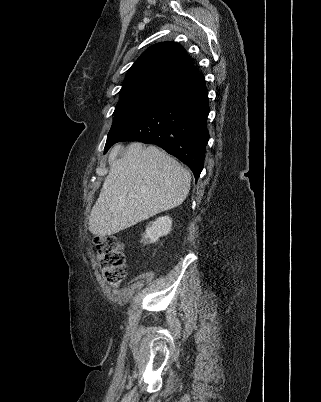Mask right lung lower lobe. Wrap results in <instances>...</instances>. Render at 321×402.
<instances>
[{
	"label": "right lung lower lobe",
	"instance_id": "98d812e1",
	"mask_svg": "<svg viewBox=\"0 0 321 402\" xmlns=\"http://www.w3.org/2000/svg\"><path fill=\"white\" fill-rule=\"evenodd\" d=\"M208 113L205 80L196 73L174 85L160 103L106 142L105 152L120 141L155 144L185 163L197 181L209 140Z\"/></svg>",
	"mask_w": 321,
	"mask_h": 402
}]
</instances>
